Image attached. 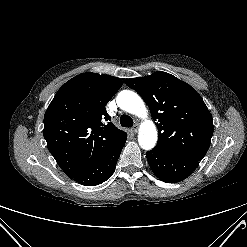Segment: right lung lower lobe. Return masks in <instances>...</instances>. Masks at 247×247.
Instances as JSON below:
<instances>
[{
	"instance_id": "98d812e1",
	"label": "right lung lower lobe",
	"mask_w": 247,
	"mask_h": 247,
	"mask_svg": "<svg viewBox=\"0 0 247 247\" xmlns=\"http://www.w3.org/2000/svg\"><path fill=\"white\" fill-rule=\"evenodd\" d=\"M125 142L126 138L90 168L73 178V180L85 186H95L109 179L115 170L117 160Z\"/></svg>"
}]
</instances>
